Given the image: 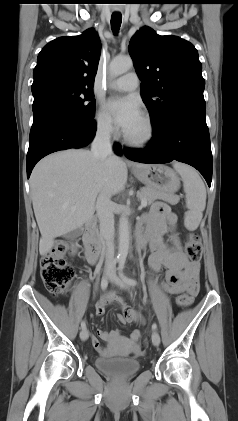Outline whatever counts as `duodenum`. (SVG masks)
<instances>
[{"label": "duodenum", "mask_w": 238, "mask_h": 421, "mask_svg": "<svg viewBox=\"0 0 238 421\" xmlns=\"http://www.w3.org/2000/svg\"><path fill=\"white\" fill-rule=\"evenodd\" d=\"M146 242V237L139 233L137 237V247L139 249H143L146 245ZM83 243L87 260L92 264L96 263L101 254V244L97 235L96 222L93 219L90 220L85 226Z\"/></svg>", "instance_id": "duodenum-1"}]
</instances>
